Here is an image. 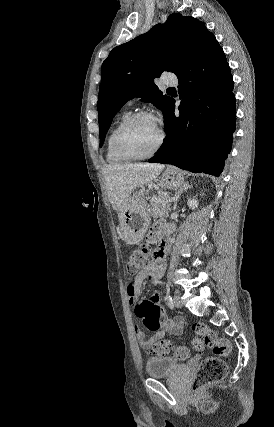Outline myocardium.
<instances>
[{"label":"myocardium","instance_id":"myocardium-1","mask_svg":"<svg viewBox=\"0 0 274 427\" xmlns=\"http://www.w3.org/2000/svg\"><path fill=\"white\" fill-rule=\"evenodd\" d=\"M140 118H151L157 121L156 117L152 113L147 111H138L136 113L129 115L124 121H122L114 133V137H113L114 148L117 151V153L126 161H143V160L151 159L161 151V149L164 147L166 142V131L157 122L160 127V139L157 146L154 148V150L143 156H136L127 152L124 149L122 144L123 133L134 121Z\"/></svg>","mask_w":274,"mask_h":427}]
</instances>
